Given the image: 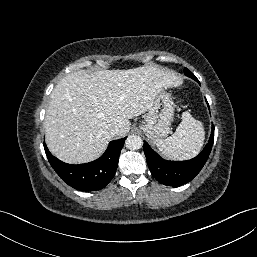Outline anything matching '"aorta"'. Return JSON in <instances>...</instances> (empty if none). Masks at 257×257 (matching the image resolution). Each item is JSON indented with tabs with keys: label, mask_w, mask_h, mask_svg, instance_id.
I'll use <instances>...</instances> for the list:
<instances>
[{
	"label": "aorta",
	"mask_w": 257,
	"mask_h": 257,
	"mask_svg": "<svg viewBox=\"0 0 257 257\" xmlns=\"http://www.w3.org/2000/svg\"><path fill=\"white\" fill-rule=\"evenodd\" d=\"M125 145L130 150H138L143 146V140L140 136L130 135L127 137Z\"/></svg>",
	"instance_id": "obj_1"
}]
</instances>
